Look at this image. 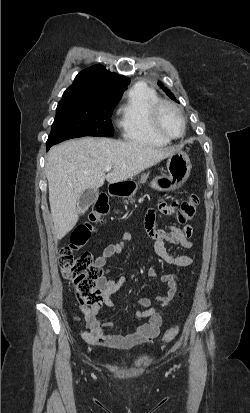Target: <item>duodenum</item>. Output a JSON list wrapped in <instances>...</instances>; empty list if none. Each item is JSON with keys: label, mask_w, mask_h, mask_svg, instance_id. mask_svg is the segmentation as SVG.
<instances>
[{"label": "duodenum", "mask_w": 250, "mask_h": 413, "mask_svg": "<svg viewBox=\"0 0 250 413\" xmlns=\"http://www.w3.org/2000/svg\"><path fill=\"white\" fill-rule=\"evenodd\" d=\"M122 184L117 183V184H111L108 189V193L111 197H115L120 194V189H121Z\"/></svg>", "instance_id": "410a0bca"}]
</instances>
